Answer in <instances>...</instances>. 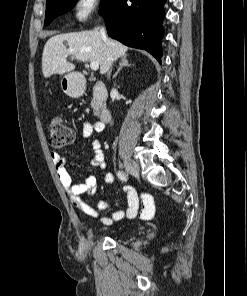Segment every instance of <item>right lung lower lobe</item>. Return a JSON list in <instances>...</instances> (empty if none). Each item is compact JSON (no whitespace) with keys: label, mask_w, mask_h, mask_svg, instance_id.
Returning a JSON list of instances; mask_svg holds the SVG:
<instances>
[{"label":"right lung lower lobe","mask_w":247,"mask_h":296,"mask_svg":"<svg viewBox=\"0 0 247 296\" xmlns=\"http://www.w3.org/2000/svg\"><path fill=\"white\" fill-rule=\"evenodd\" d=\"M165 1L111 0L101 11L108 35L127 46L148 51L161 63Z\"/></svg>","instance_id":"98d812e1"}]
</instances>
